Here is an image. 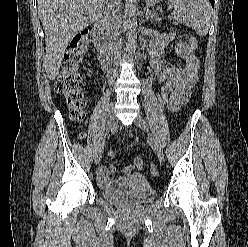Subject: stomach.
I'll list each match as a JSON object with an SVG mask.
<instances>
[{
    "label": "stomach",
    "mask_w": 248,
    "mask_h": 247,
    "mask_svg": "<svg viewBox=\"0 0 248 247\" xmlns=\"http://www.w3.org/2000/svg\"><path fill=\"white\" fill-rule=\"evenodd\" d=\"M147 4L153 5L159 3L161 0H144Z\"/></svg>",
    "instance_id": "obj_1"
}]
</instances>
